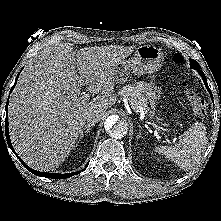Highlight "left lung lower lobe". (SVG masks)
Returning a JSON list of instances; mask_svg holds the SVG:
<instances>
[{
    "instance_id": "0a47b994",
    "label": "left lung lower lobe",
    "mask_w": 221,
    "mask_h": 221,
    "mask_svg": "<svg viewBox=\"0 0 221 221\" xmlns=\"http://www.w3.org/2000/svg\"><path fill=\"white\" fill-rule=\"evenodd\" d=\"M196 70H198L199 74L201 75V77H202V79H203V81H204V83H205V86H206L207 90L209 91L210 95L212 96V93H211V91H210V89H209V87H208L207 79H206V77H205L204 72H203L201 69H196ZM212 98H213V97H212Z\"/></svg>"
}]
</instances>
